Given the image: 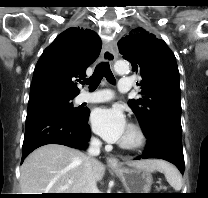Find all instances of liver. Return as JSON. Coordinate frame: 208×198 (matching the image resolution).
I'll return each mask as SVG.
<instances>
[{
	"label": "liver",
	"instance_id": "1",
	"mask_svg": "<svg viewBox=\"0 0 208 198\" xmlns=\"http://www.w3.org/2000/svg\"><path fill=\"white\" fill-rule=\"evenodd\" d=\"M85 156L79 150L59 144H47L36 149L21 166L22 194L82 193ZM161 164L162 161L158 160L128 162L131 167L149 172L161 170ZM92 170L95 180L101 181L105 174L103 163L95 160ZM69 181L72 183L68 185Z\"/></svg>",
	"mask_w": 208,
	"mask_h": 198
}]
</instances>
